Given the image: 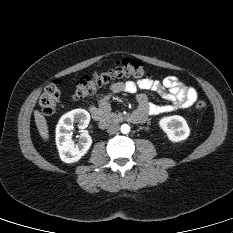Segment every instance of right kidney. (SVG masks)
<instances>
[{
  "instance_id": "ca27d5eb",
  "label": "right kidney",
  "mask_w": 233,
  "mask_h": 233,
  "mask_svg": "<svg viewBox=\"0 0 233 233\" xmlns=\"http://www.w3.org/2000/svg\"><path fill=\"white\" fill-rule=\"evenodd\" d=\"M89 122L90 114L84 109L71 110L60 118L56 126V145L63 162H77L90 149L92 138L88 133H81L77 143L72 140V133H69L74 123H78L79 129H85Z\"/></svg>"
}]
</instances>
